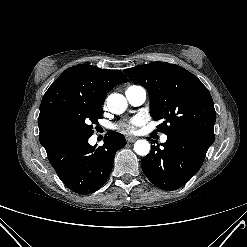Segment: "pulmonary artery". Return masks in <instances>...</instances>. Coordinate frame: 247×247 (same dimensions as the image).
Returning a JSON list of instances; mask_svg holds the SVG:
<instances>
[{
  "instance_id": "1",
  "label": "pulmonary artery",
  "mask_w": 247,
  "mask_h": 247,
  "mask_svg": "<svg viewBox=\"0 0 247 247\" xmlns=\"http://www.w3.org/2000/svg\"><path fill=\"white\" fill-rule=\"evenodd\" d=\"M125 96L131 105L139 106L145 102L147 98V91L143 86L131 85L126 89ZM161 141L166 142L167 136L162 135Z\"/></svg>"
}]
</instances>
